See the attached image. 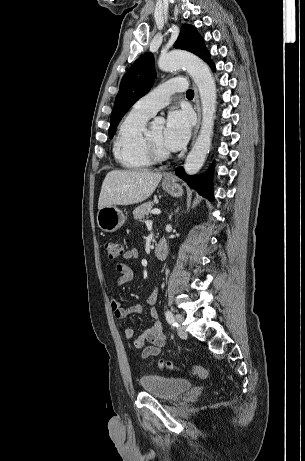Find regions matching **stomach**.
Instances as JSON below:
<instances>
[{"label":"stomach","instance_id":"1","mask_svg":"<svg viewBox=\"0 0 305 461\" xmlns=\"http://www.w3.org/2000/svg\"><path fill=\"white\" fill-rule=\"evenodd\" d=\"M163 189L173 197H180L183 194L182 186L175 181L162 183ZM125 215L116 206H109L99 209L97 213V224L104 232H114L125 223Z\"/></svg>","mask_w":305,"mask_h":461}]
</instances>
